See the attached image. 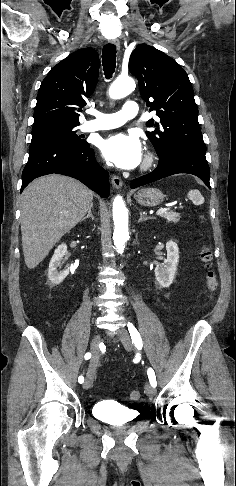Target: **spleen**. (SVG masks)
<instances>
[{"label":"spleen","instance_id":"spleen-1","mask_svg":"<svg viewBox=\"0 0 236 486\" xmlns=\"http://www.w3.org/2000/svg\"><path fill=\"white\" fill-rule=\"evenodd\" d=\"M188 197L195 205L204 203V198L198 190H190L188 192Z\"/></svg>","mask_w":236,"mask_h":486}]
</instances>
